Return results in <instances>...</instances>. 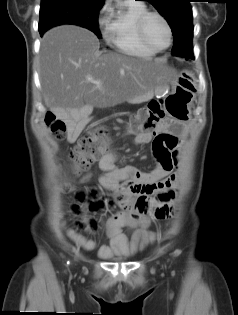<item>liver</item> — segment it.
Instances as JSON below:
<instances>
[{
  "label": "liver",
  "mask_w": 238,
  "mask_h": 315,
  "mask_svg": "<svg viewBox=\"0 0 238 315\" xmlns=\"http://www.w3.org/2000/svg\"><path fill=\"white\" fill-rule=\"evenodd\" d=\"M99 48L97 37L78 26L62 25L44 34L40 82L45 105L59 118L75 117L85 104L91 108L115 106L169 81L168 69L158 60Z\"/></svg>",
  "instance_id": "1"
}]
</instances>
